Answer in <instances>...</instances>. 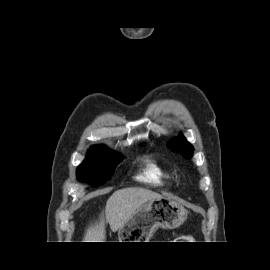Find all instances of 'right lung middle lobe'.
I'll return each mask as SVG.
<instances>
[{"label":"right lung middle lobe","mask_w":270,"mask_h":270,"mask_svg":"<svg viewBox=\"0 0 270 270\" xmlns=\"http://www.w3.org/2000/svg\"><path fill=\"white\" fill-rule=\"evenodd\" d=\"M122 159V155L106 148L92 149L77 168V177L95 187L100 186L109 179Z\"/></svg>","instance_id":"obj_1"}]
</instances>
